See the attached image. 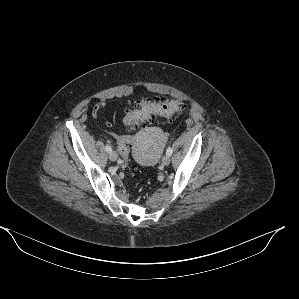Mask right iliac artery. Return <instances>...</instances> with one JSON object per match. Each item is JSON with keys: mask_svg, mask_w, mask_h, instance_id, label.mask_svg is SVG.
Segmentation results:
<instances>
[{"mask_svg": "<svg viewBox=\"0 0 299 299\" xmlns=\"http://www.w3.org/2000/svg\"><path fill=\"white\" fill-rule=\"evenodd\" d=\"M105 149L108 153L112 152V148L109 145H106Z\"/></svg>", "mask_w": 299, "mask_h": 299, "instance_id": "obj_1", "label": "right iliac artery"}]
</instances>
